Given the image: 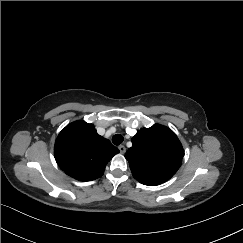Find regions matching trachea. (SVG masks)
Returning <instances> with one entry per match:
<instances>
[{"instance_id":"trachea-1","label":"trachea","mask_w":243,"mask_h":243,"mask_svg":"<svg viewBox=\"0 0 243 243\" xmlns=\"http://www.w3.org/2000/svg\"><path fill=\"white\" fill-rule=\"evenodd\" d=\"M123 140H124V138L120 134H115L112 137V142H113L114 145H120L123 142Z\"/></svg>"}]
</instances>
